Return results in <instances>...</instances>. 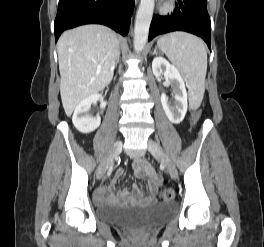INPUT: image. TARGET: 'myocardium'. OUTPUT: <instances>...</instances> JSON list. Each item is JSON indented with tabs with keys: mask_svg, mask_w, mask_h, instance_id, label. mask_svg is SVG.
<instances>
[{
	"mask_svg": "<svg viewBox=\"0 0 264 247\" xmlns=\"http://www.w3.org/2000/svg\"><path fill=\"white\" fill-rule=\"evenodd\" d=\"M174 7H175L174 2L172 0H168L162 5L161 10L163 12H169L173 10Z\"/></svg>",
	"mask_w": 264,
	"mask_h": 247,
	"instance_id": "obj_1",
	"label": "myocardium"
}]
</instances>
